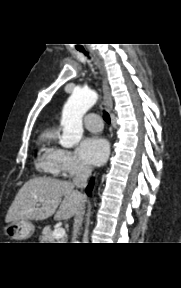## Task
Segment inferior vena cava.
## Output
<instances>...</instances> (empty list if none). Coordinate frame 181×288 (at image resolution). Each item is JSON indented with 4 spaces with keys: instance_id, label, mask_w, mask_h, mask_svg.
I'll list each match as a JSON object with an SVG mask.
<instances>
[{
    "instance_id": "1",
    "label": "inferior vena cava",
    "mask_w": 181,
    "mask_h": 288,
    "mask_svg": "<svg viewBox=\"0 0 181 288\" xmlns=\"http://www.w3.org/2000/svg\"><path fill=\"white\" fill-rule=\"evenodd\" d=\"M91 173H92V168L90 166L81 164L79 166L78 172L73 178L74 186L78 189L85 188L87 186V181ZM84 213H85V207L82 206L75 215L74 224H73V236H72L73 241L76 240L79 227L82 225Z\"/></svg>"
}]
</instances>
